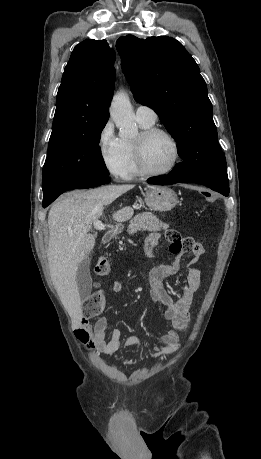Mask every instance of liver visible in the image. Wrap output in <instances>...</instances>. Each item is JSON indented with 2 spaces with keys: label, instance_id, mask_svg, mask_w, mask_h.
Segmentation results:
<instances>
[{
  "label": "liver",
  "instance_id": "liver-1",
  "mask_svg": "<svg viewBox=\"0 0 261 459\" xmlns=\"http://www.w3.org/2000/svg\"><path fill=\"white\" fill-rule=\"evenodd\" d=\"M134 185H109L88 191H73L62 196L48 214V263L53 284L72 320L78 327L82 302L76 282L79 264L93 250L95 236L89 234L94 220L102 216L104 206L111 204ZM133 215L131 207L113 214L116 221Z\"/></svg>",
  "mask_w": 261,
  "mask_h": 459
}]
</instances>
